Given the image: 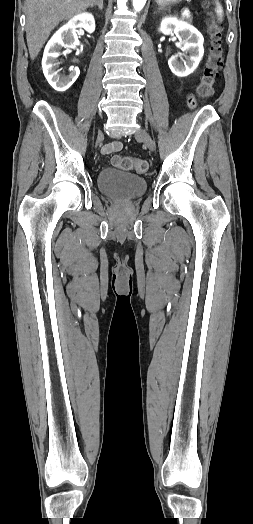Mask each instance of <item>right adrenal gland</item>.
Wrapping results in <instances>:
<instances>
[{
  "instance_id": "obj_1",
  "label": "right adrenal gland",
  "mask_w": 253,
  "mask_h": 524,
  "mask_svg": "<svg viewBox=\"0 0 253 524\" xmlns=\"http://www.w3.org/2000/svg\"><path fill=\"white\" fill-rule=\"evenodd\" d=\"M98 6V8L102 11L103 10V0H97L96 3H94L93 7Z\"/></svg>"
}]
</instances>
